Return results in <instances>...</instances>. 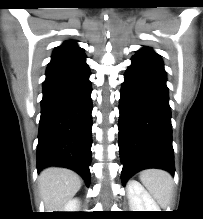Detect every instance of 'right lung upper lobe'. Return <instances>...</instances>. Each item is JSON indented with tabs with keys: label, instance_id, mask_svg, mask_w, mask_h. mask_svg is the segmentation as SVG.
Returning <instances> with one entry per match:
<instances>
[{
	"label": "right lung upper lobe",
	"instance_id": "right-lung-upper-lobe-1",
	"mask_svg": "<svg viewBox=\"0 0 203 219\" xmlns=\"http://www.w3.org/2000/svg\"><path fill=\"white\" fill-rule=\"evenodd\" d=\"M85 54L76 44V41H65L61 46L57 47L52 55L50 63L61 61H72L84 58ZM49 63V64H50Z\"/></svg>",
	"mask_w": 203,
	"mask_h": 219
}]
</instances>
